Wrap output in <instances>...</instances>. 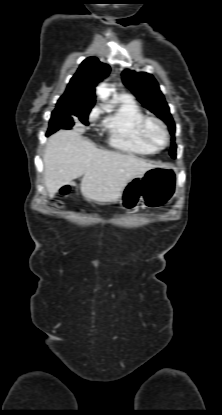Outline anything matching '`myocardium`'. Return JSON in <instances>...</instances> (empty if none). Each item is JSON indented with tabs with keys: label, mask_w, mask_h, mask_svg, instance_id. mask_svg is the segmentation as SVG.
<instances>
[{
	"label": "myocardium",
	"mask_w": 222,
	"mask_h": 415,
	"mask_svg": "<svg viewBox=\"0 0 222 415\" xmlns=\"http://www.w3.org/2000/svg\"><path fill=\"white\" fill-rule=\"evenodd\" d=\"M152 124H155L157 126L160 127L163 136H164V142L163 143H157L155 142L151 136L149 135V128ZM140 133L142 138L152 147L156 148V149H163L166 146H168L169 142H170V133L168 130L167 125L165 124V122L156 117V116H145L141 123H140Z\"/></svg>",
	"instance_id": "myocardium-1"
}]
</instances>
